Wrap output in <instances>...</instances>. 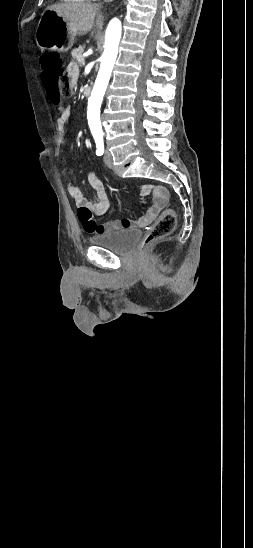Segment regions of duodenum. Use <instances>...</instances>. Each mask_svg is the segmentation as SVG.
Here are the masks:
<instances>
[{"label": "duodenum", "instance_id": "410a0bca", "mask_svg": "<svg viewBox=\"0 0 253 548\" xmlns=\"http://www.w3.org/2000/svg\"><path fill=\"white\" fill-rule=\"evenodd\" d=\"M91 92H92L91 87H86V88L84 89V95H85L86 97L90 96V95H91Z\"/></svg>", "mask_w": 253, "mask_h": 548}]
</instances>
